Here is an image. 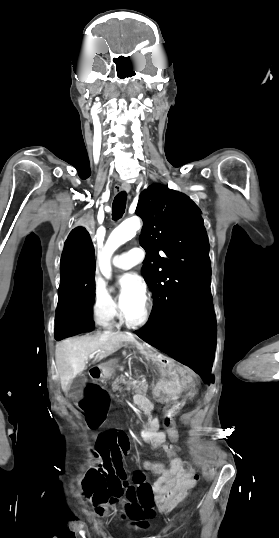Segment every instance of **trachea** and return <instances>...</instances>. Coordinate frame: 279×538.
Segmentation results:
<instances>
[{
  "label": "trachea",
  "instance_id": "obj_1",
  "mask_svg": "<svg viewBox=\"0 0 279 538\" xmlns=\"http://www.w3.org/2000/svg\"><path fill=\"white\" fill-rule=\"evenodd\" d=\"M127 194L122 191L116 195L112 204V217L113 220L118 221L124 214L126 209Z\"/></svg>",
  "mask_w": 279,
  "mask_h": 538
}]
</instances>
